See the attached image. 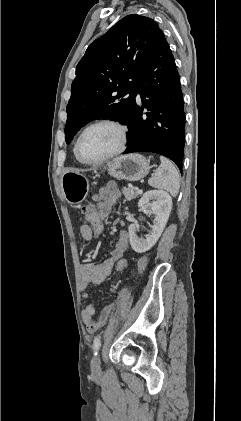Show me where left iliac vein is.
<instances>
[{
	"instance_id": "4c4485c4",
	"label": "left iliac vein",
	"mask_w": 241,
	"mask_h": 421,
	"mask_svg": "<svg viewBox=\"0 0 241 421\" xmlns=\"http://www.w3.org/2000/svg\"><path fill=\"white\" fill-rule=\"evenodd\" d=\"M100 364H101V360H100V355H95L91 361V368L93 373H98L100 371Z\"/></svg>"
}]
</instances>
